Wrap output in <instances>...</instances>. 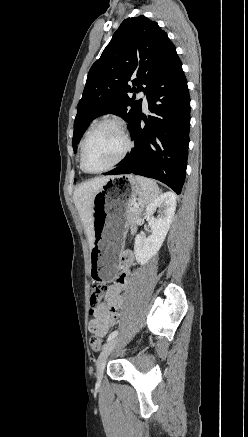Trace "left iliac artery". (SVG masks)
Segmentation results:
<instances>
[{
    "label": "left iliac artery",
    "instance_id": "obj_1",
    "mask_svg": "<svg viewBox=\"0 0 248 437\" xmlns=\"http://www.w3.org/2000/svg\"><path fill=\"white\" fill-rule=\"evenodd\" d=\"M118 335V331H113L109 336L107 341H110L111 339L115 338Z\"/></svg>",
    "mask_w": 248,
    "mask_h": 437
}]
</instances>
